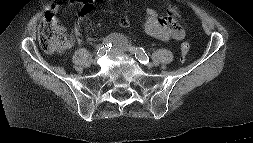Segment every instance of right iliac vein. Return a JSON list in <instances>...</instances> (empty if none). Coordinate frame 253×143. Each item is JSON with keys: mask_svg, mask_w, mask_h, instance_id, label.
<instances>
[{"mask_svg": "<svg viewBox=\"0 0 253 143\" xmlns=\"http://www.w3.org/2000/svg\"><path fill=\"white\" fill-rule=\"evenodd\" d=\"M96 62H97V61H96V59H95V60L93 61V63L96 64Z\"/></svg>", "mask_w": 253, "mask_h": 143, "instance_id": "right-iliac-vein-1", "label": "right iliac vein"}]
</instances>
